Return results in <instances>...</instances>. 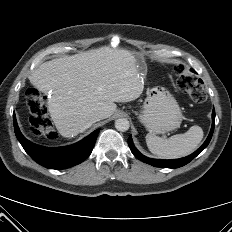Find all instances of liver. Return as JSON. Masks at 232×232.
<instances>
[{"label":"liver","mask_w":232,"mask_h":232,"mask_svg":"<svg viewBox=\"0 0 232 232\" xmlns=\"http://www.w3.org/2000/svg\"><path fill=\"white\" fill-rule=\"evenodd\" d=\"M125 49L101 47L42 63L29 77L39 91L50 94L48 110L64 137L85 131L92 114L108 118L114 102H130L143 92L145 65Z\"/></svg>","instance_id":"obj_1"}]
</instances>
